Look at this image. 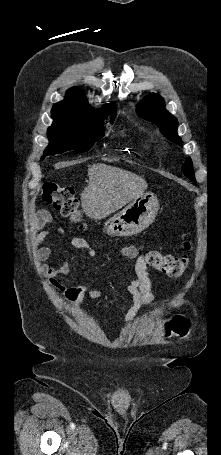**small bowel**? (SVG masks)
<instances>
[{
    "label": "small bowel",
    "mask_w": 221,
    "mask_h": 455,
    "mask_svg": "<svg viewBox=\"0 0 221 455\" xmlns=\"http://www.w3.org/2000/svg\"><path fill=\"white\" fill-rule=\"evenodd\" d=\"M51 222V216L46 211H40L36 214L33 221V230L36 233L35 244L42 243L50 234L51 229H45L46 225ZM71 245L77 249L87 251L91 256H95V251L91 248L87 241L82 238L74 237L71 239ZM56 254V250L49 246L40 247L36 251V256L40 261H46ZM120 254L127 259L135 260V276L126 286V291L132 297V305L126 312L123 323L131 322L137 315L141 307L148 305L154 300L152 284L147 273V263L143 253L136 246H126L120 250ZM70 271L68 261H64L60 265H51L47 268V278L49 283L61 292L66 301L73 304L76 311L80 312L83 301L86 297L99 299L103 293L101 290L95 289L88 283H82L75 286L65 287L57 281V276L67 275ZM162 314L161 310L153 313L152 319H157Z\"/></svg>",
    "instance_id": "small-bowel-1"
}]
</instances>
